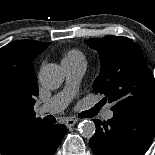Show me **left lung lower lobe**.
<instances>
[{
	"instance_id": "left-lung-lower-lobe-1",
	"label": "left lung lower lobe",
	"mask_w": 155,
	"mask_h": 155,
	"mask_svg": "<svg viewBox=\"0 0 155 155\" xmlns=\"http://www.w3.org/2000/svg\"><path fill=\"white\" fill-rule=\"evenodd\" d=\"M108 121L94 120L89 145L95 155H144L155 135V107L113 112Z\"/></svg>"
}]
</instances>
